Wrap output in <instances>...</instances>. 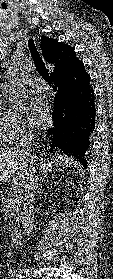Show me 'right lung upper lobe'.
Returning a JSON list of instances; mask_svg holds the SVG:
<instances>
[{
    "instance_id": "obj_1",
    "label": "right lung upper lobe",
    "mask_w": 113,
    "mask_h": 279,
    "mask_svg": "<svg viewBox=\"0 0 113 279\" xmlns=\"http://www.w3.org/2000/svg\"><path fill=\"white\" fill-rule=\"evenodd\" d=\"M42 55L46 62L55 66L52 79L60 78L73 72L82 62L76 58L74 48L58 42L56 39L41 36Z\"/></svg>"
}]
</instances>
